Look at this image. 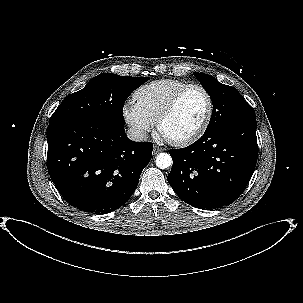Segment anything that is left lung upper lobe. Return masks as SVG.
Here are the masks:
<instances>
[{"label": "left lung upper lobe", "mask_w": 303, "mask_h": 303, "mask_svg": "<svg viewBox=\"0 0 303 303\" xmlns=\"http://www.w3.org/2000/svg\"><path fill=\"white\" fill-rule=\"evenodd\" d=\"M194 76L210 95L213 103V113L206 131L225 124L255 118L253 108L235 88L222 84L204 73L196 72Z\"/></svg>", "instance_id": "5c2ea615"}]
</instances>
